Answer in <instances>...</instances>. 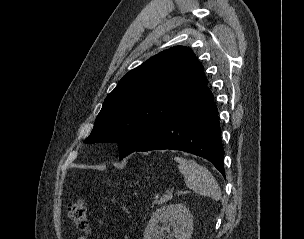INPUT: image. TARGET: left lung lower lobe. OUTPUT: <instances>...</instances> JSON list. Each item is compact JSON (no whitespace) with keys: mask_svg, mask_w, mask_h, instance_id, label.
<instances>
[{"mask_svg":"<svg viewBox=\"0 0 304 239\" xmlns=\"http://www.w3.org/2000/svg\"><path fill=\"white\" fill-rule=\"evenodd\" d=\"M173 149L209 160L225 176L224 149L213 94L205 89L135 151ZM131 152V153H132Z\"/></svg>","mask_w":304,"mask_h":239,"instance_id":"left-lung-lower-lobe-1","label":"left lung lower lobe"}]
</instances>
